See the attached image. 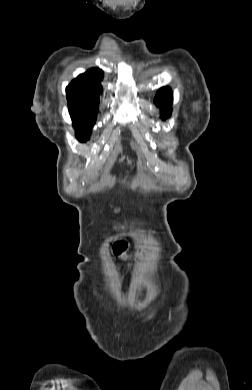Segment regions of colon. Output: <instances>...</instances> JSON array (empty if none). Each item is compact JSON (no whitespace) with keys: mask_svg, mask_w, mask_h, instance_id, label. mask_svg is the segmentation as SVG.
Segmentation results:
<instances>
[{"mask_svg":"<svg viewBox=\"0 0 252 390\" xmlns=\"http://www.w3.org/2000/svg\"><path fill=\"white\" fill-rule=\"evenodd\" d=\"M113 252L116 256H119L123 259H129L133 256L132 252L128 248L127 243L123 240H118L114 243Z\"/></svg>","mask_w":252,"mask_h":390,"instance_id":"obj_1","label":"colon"}]
</instances>
